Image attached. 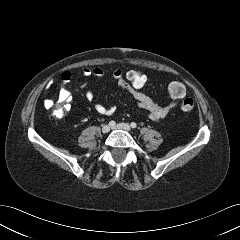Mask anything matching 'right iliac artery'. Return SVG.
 Wrapping results in <instances>:
<instances>
[{
    "instance_id": "1",
    "label": "right iliac artery",
    "mask_w": 240,
    "mask_h": 240,
    "mask_svg": "<svg viewBox=\"0 0 240 240\" xmlns=\"http://www.w3.org/2000/svg\"><path fill=\"white\" fill-rule=\"evenodd\" d=\"M115 124H116L115 121H110V122H109V125H110L111 127L115 126Z\"/></svg>"
}]
</instances>
